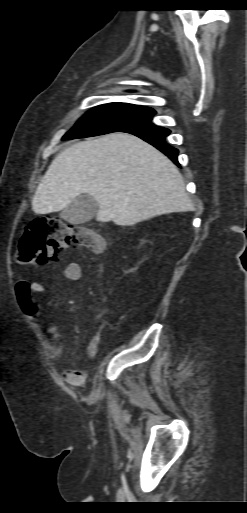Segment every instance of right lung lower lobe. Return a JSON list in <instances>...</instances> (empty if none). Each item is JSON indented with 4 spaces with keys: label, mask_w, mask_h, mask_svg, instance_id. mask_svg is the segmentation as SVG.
Returning <instances> with one entry per match:
<instances>
[{
    "label": "right lung lower lobe",
    "mask_w": 247,
    "mask_h": 513,
    "mask_svg": "<svg viewBox=\"0 0 247 513\" xmlns=\"http://www.w3.org/2000/svg\"><path fill=\"white\" fill-rule=\"evenodd\" d=\"M120 132H126L140 137L146 142L150 143L165 155H167L176 165L179 166L177 156L178 150L171 147L169 144L165 142V137L169 135L170 130L155 126L151 123V121L134 124L131 126H127L122 129Z\"/></svg>",
    "instance_id": "obj_1"
}]
</instances>
